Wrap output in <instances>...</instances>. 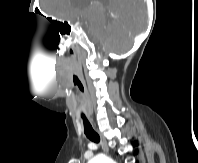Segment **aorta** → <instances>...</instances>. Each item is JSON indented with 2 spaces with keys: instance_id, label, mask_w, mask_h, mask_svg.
Instances as JSON below:
<instances>
[{
  "instance_id": "aorta-1",
  "label": "aorta",
  "mask_w": 198,
  "mask_h": 163,
  "mask_svg": "<svg viewBox=\"0 0 198 163\" xmlns=\"http://www.w3.org/2000/svg\"><path fill=\"white\" fill-rule=\"evenodd\" d=\"M88 163H113V161L105 155H97L91 160H89Z\"/></svg>"
}]
</instances>
